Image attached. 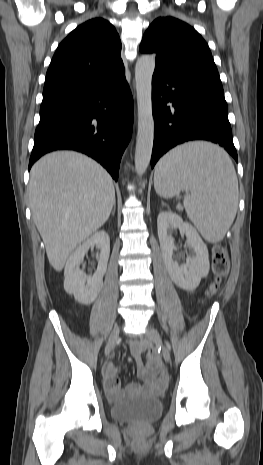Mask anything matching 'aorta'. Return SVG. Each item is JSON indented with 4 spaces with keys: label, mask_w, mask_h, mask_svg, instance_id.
<instances>
[{
    "label": "aorta",
    "mask_w": 263,
    "mask_h": 465,
    "mask_svg": "<svg viewBox=\"0 0 263 465\" xmlns=\"http://www.w3.org/2000/svg\"><path fill=\"white\" fill-rule=\"evenodd\" d=\"M155 56L142 55L135 67V83L138 106V132L135 150V170L143 175L147 170L153 148L154 119L152 114V76Z\"/></svg>",
    "instance_id": "762f6f07"
}]
</instances>
